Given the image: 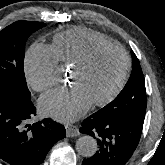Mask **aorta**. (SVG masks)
<instances>
[{
	"mask_svg": "<svg viewBox=\"0 0 165 165\" xmlns=\"http://www.w3.org/2000/svg\"><path fill=\"white\" fill-rule=\"evenodd\" d=\"M76 151L84 157H91L97 151V142L90 135L81 136L76 141Z\"/></svg>",
	"mask_w": 165,
	"mask_h": 165,
	"instance_id": "obj_1",
	"label": "aorta"
}]
</instances>
